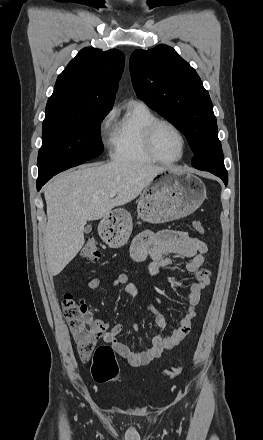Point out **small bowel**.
<instances>
[{
  "label": "small bowel",
  "instance_id": "small-bowel-1",
  "mask_svg": "<svg viewBox=\"0 0 263 440\" xmlns=\"http://www.w3.org/2000/svg\"><path fill=\"white\" fill-rule=\"evenodd\" d=\"M132 258L137 261L151 259L148 266L149 274L153 277L158 276L162 268L174 263L169 254H176L186 258L182 267L195 276V282L191 285L187 300V311L180 321L178 327L167 334L164 330L167 327L165 317L153 305L146 308L155 315V321L160 329V333L151 340V346L146 349L134 351L126 343L119 339L122 326L115 324L110 326L108 322L95 319V325L105 342L110 343L115 352L135 366L147 365L151 361L159 358L164 350L174 348L189 333L192 321L197 314V308L201 300L202 291L210 284L211 272L205 267V254L209 252L208 246L201 240L192 237L183 231L165 230L160 232L144 231L137 235L130 248ZM113 287L122 285L126 295L138 298L139 293L136 286L129 281L127 274H119L112 283ZM101 287V279L92 277L87 282L90 291H96ZM137 330L138 326L135 325Z\"/></svg>",
  "mask_w": 263,
  "mask_h": 440
}]
</instances>
